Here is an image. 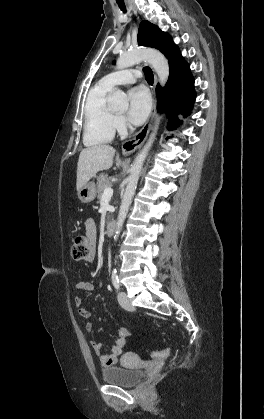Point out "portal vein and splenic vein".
<instances>
[{
	"mask_svg": "<svg viewBox=\"0 0 264 419\" xmlns=\"http://www.w3.org/2000/svg\"><path fill=\"white\" fill-rule=\"evenodd\" d=\"M113 195V189L111 187H108L104 190L102 198H111Z\"/></svg>",
	"mask_w": 264,
	"mask_h": 419,
	"instance_id": "1",
	"label": "portal vein and splenic vein"
}]
</instances>
